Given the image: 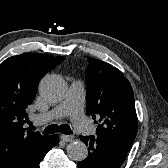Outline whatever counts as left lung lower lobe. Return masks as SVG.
Returning <instances> with one entry per match:
<instances>
[{"instance_id":"obj_1","label":"left lung lower lobe","mask_w":168,"mask_h":168,"mask_svg":"<svg viewBox=\"0 0 168 168\" xmlns=\"http://www.w3.org/2000/svg\"><path fill=\"white\" fill-rule=\"evenodd\" d=\"M88 146V157L78 162L79 168H119L128 149L100 136H80Z\"/></svg>"}]
</instances>
